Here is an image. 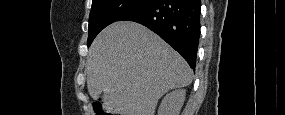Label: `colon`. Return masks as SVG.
Masks as SVG:
<instances>
[{
    "label": "colon",
    "instance_id": "5ec220e1",
    "mask_svg": "<svg viewBox=\"0 0 285 115\" xmlns=\"http://www.w3.org/2000/svg\"><path fill=\"white\" fill-rule=\"evenodd\" d=\"M95 110L97 114H105L100 104H96Z\"/></svg>",
    "mask_w": 285,
    "mask_h": 115
}]
</instances>
